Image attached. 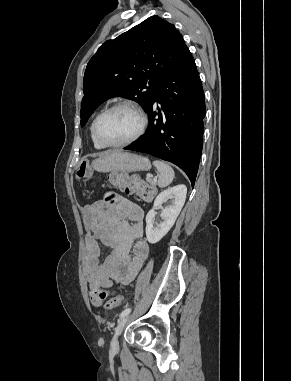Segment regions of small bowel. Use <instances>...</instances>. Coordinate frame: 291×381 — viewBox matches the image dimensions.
Segmentation results:
<instances>
[{
	"mask_svg": "<svg viewBox=\"0 0 291 381\" xmlns=\"http://www.w3.org/2000/svg\"><path fill=\"white\" fill-rule=\"evenodd\" d=\"M87 229L83 271L89 283L91 302L100 306L94 294L99 288H110L114 282H132L149 253L143 239V210L128 200L117 203L96 202L82 207ZM99 243L109 248L101 259Z\"/></svg>",
	"mask_w": 291,
	"mask_h": 381,
	"instance_id": "1",
	"label": "small bowel"
}]
</instances>
